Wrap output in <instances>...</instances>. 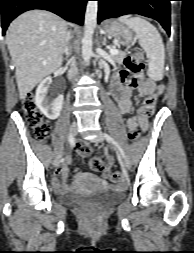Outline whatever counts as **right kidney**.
Listing matches in <instances>:
<instances>
[{"label":"right kidney","instance_id":"ca27d5eb","mask_svg":"<svg viewBox=\"0 0 194 253\" xmlns=\"http://www.w3.org/2000/svg\"><path fill=\"white\" fill-rule=\"evenodd\" d=\"M51 83V77H47L38 85L35 95V103L39 110L48 119L54 120L60 115L64 97L63 95H58L56 98H52L47 95Z\"/></svg>","mask_w":194,"mask_h":253}]
</instances>
